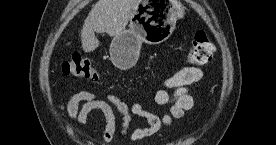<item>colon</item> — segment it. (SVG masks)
Wrapping results in <instances>:
<instances>
[{"label": "colon", "mask_w": 276, "mask_h": 145, "mask_svg": "<svg viewBox=\"0 0 276 145\" xmlns=\"http://www.w3.org/2000/svg\"><path fill=\"white\" fill-rule=\"evenodd\" d=\"M215 47L204 32L194 35L189 53L188 61L193 66L205 65L213 56ZM63 73L67 76L82 78L89 81H99L100 74L94 63L79 54L72 55L62 64Z\"/></svg>", "instance_id": "5ec220e1"}]
</instances>
